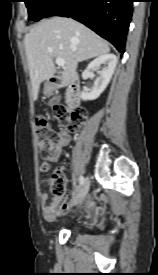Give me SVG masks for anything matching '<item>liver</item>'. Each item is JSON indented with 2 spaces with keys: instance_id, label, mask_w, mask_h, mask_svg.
I'll return each instance as SVG.
<instances>
[{
  "instance_id": "obj_1",
  "label": "liver",
  "mask_w": 158,
  "mask_h": 275,
  "mask_svg": "<svg viewBox=\"0 0 158 275\" xmlns=\"http://www.w3.org/2000/svg\"><path fill=\"white\" fill-rule=\"evenodd\" d=\"M33 100H37L40 84L55 73L53 59L65 61L64 83L76 77L79 62L108 54V43L83 24L66 17L42 20L25 35Z\"/></svg>"
}]
</instances>
